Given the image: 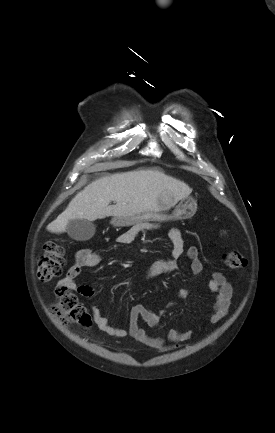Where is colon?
<instances>
[{"label": "colon", "mask_w": 275, "mask_h": 433, "mask_svg": "<svg viewBox=\"0 0 275 433\" xmlns=\"http://www.w3.org/2000/svg\"><path fill=\"white\" fill-rule=\"evenodd\" d=\"M44 252L37 261V275L40 279H51L62 273L64 266V246L52 239L44 244ZM223 264L231 269H239L245 266L246 260L237 250H229L222 257ZM57 302L51 307V314L63 325L74 323L87 328L92 324V319L87 310L82 306L71 290L59 287L56 290Z\"/></svg>", "instance_id": "colon-1"}]
</instances>
